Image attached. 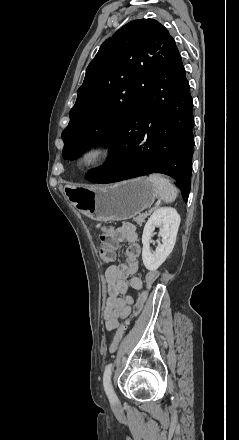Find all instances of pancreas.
<instances>
[{
  "mask_svg": "<svg viewBox=\"0 0 239 440\" xmlns=\"http://www.w3.org/2000/svg\"><path fill=\"white\" fill-rule=\"evenodd\" d=\"M151 212L149 214H140V216H136V218H133V222H137L139 226H142L143 222H145L147 216H150Z\"/></svg>",
  "mask_w": 239,
  "mask_h": 440,
  "instance_id": "1",
  "label": "pancreas"
}]
</instances>
